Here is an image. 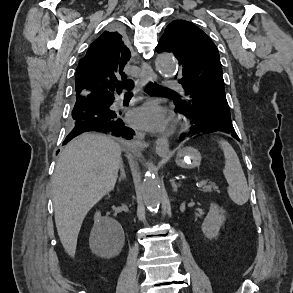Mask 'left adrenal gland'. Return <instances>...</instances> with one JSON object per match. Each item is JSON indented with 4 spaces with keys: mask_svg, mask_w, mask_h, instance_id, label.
I'll return each instance as SVG.
<instances>
[{
    "mask_svg": "<svg viewBox=\"0 0 293 293\" xmlns=\"http://www.w3.org/2000/svg\"><path fill=\"white\" fill-rule=\"evenodd\" d=\"M170 182H171L173 191L174 192H177V189H178V187H180V185H177L176 182H175V180H170Z\"/></svg>",
    "mask_w": 293,
    "mask_h": 293,
    "instance_id": "1",
    "label": "left adrenal gland"
}]
</instances>
